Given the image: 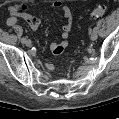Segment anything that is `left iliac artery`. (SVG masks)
I'll list each match as a JSON object with an SVG mask.
<instances>
[{
    "instance_id": "44dca946",
    "label": "left iliac artery",
    "mask_w": 119,
    "mask_h": 119,
    "mask_svg": "<svg viewBox=\"0 0 119 119\" xmlns=\"http://www.w3.org/2000/svg\"><path fill=\"white\" fill-rule=\"evenodd\" d=\"M97 31H98V28L94 27L93 32H97Z\"/></svg>"
}]
</instances>
